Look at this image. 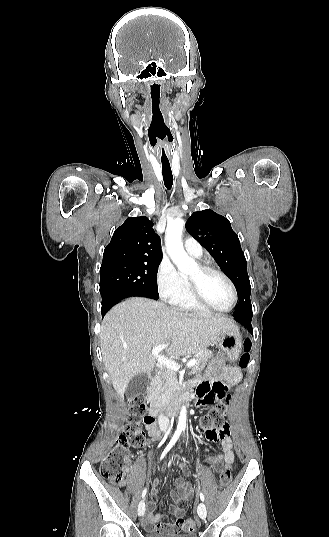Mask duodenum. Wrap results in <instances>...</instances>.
I'll use <instances>...</instances> for the list:
<instances>
[{"mask_svg":"<svg viewBox=\"0 0 329 537\" xmlns=\"http://www.w3.org/2000/svg\"><path fill=\"white\" fill-rule=\"evenodd\" d=\"M190 398L188 391H183L181 394L180 401H187ZM179 407V403H163L160 400L152 399L150 402L149 413L152 417L158 416L161 410L166 411L170 415L176 414Z\"/></svg>","mask_w":329,"mask_h":537,"instance_id":"obj_1","label":"duodenum"}]
</instances>
